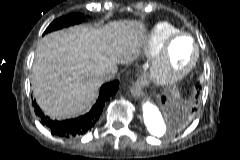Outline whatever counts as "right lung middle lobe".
<instances>
[{"mask_svg":"<svg viewBox=\"0 0 240 160\" xmlns=\"http://www.w3.org/2000/svg\"><path fill=\"white\" fill-rule=\"evenodd\" d=\"M83 20V15L82 14H69L65 17H61L55 21H53L48 28L45 30V33H49L51 31L61 29L63 27L70 26L72 24L80 23Z\"/></svg>","mask_w":240,"mask_h":160,"instance_id":"obj_1","label":"right lung middle lobe"}]
</instances>
